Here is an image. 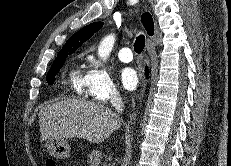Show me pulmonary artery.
I'll use <instances>...</instances> for the list:
<instances>
[{"mask_svg":"<svg viewBox=\"0 0 231 166\" xmlns=\"http://www.w3.org/2000/svg\"><path fill=\"white\" fill-rule=\"evenodd\" d=\"M118 57L122 62H125V63L132 61L133 55H132L131 49L127 46L121 48L118 52Z\"/></svg>","mask_w":231,"mask_h":166,"instance_id":"pulmonary-artery-1","label":"pulmonary artery"}]
</instances>
